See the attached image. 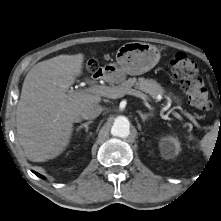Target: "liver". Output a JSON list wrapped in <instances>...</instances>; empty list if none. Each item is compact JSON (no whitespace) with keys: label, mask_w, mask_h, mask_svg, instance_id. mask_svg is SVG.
I'll return each mask as SVG.
<instances>
[{"label":"liver","mask_w":221,"mask_h":221,"mask_svg":"<svg viewBox=\"0 0 221 221\" xmlns=\"http://www.w3.org/2000/svg\"><path fill=\"white\" fill-rule=\"evenodd\" d=\"M84 55H59L27 73L16 110L18 141L30 161L60 155L70 142L82 109L101 101L98 94L69 89L82 74Z\"/></svg>","instance_id":"liver-1"}]
</instances>
